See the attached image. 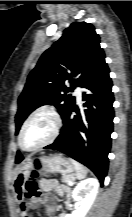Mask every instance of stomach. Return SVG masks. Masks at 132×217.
<instances>
[{
    "label": "stomach",
    "mask_w": 132,
    "mask_h": 217,
    "mask_svg": "<svg viewBox=\"0 0 132 217\" xmlns=\"http://www.w3.org/2000/svg\"><path fill=\"white\" fill-rule=\"evenodd\" d=\"M38 161V165L35 164ZM75 168L71 161L62 154H53L50 156H42L35 160L28 161L24 166L19 168L14 176L13 183L22 187L33 171L44 175L46 173H61L63 175H71Z\"/></svg>",
    "instance_id": "obj_1"
}]
</instances>
